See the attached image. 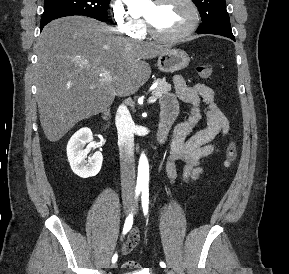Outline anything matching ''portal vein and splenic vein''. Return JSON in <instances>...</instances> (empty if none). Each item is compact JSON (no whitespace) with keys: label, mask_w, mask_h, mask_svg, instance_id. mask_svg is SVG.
Wrapping results in <instances>:
<instances>
[{"label":"portal vein and splenic vein","mask_w":289,"mask_h":274,"mask_svg":"<svg viewBox=\"0 0 289 274\" xmlns=\"http://www.w3.org/2000/svg\"><path fill=\"white\" fill-rule=\"evenodd\" d=\"M103 78H104V80H106V81H109V82L112 81V78L108 75L107 72L103 73ZM156 101H157V97H155V96H151V97H149V99H148V102H149V103H155Z\"/></svg>","instance_id":"18ae733b"}]
</instances>
